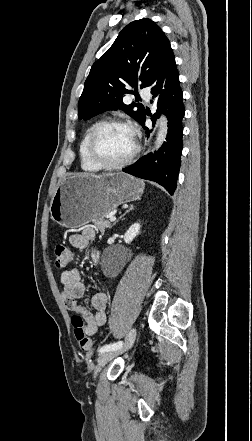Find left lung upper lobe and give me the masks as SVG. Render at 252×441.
I'll use <instances>...</instances> for the list:
<instances>
[{
  "label": "left lung upper lobe",
  "mask_w": 252,
  "mask_h": 441,
  "mask_svg": "<svg viewBox=\"0 0 252 441\" xmlns=\"http://www.w3.org/2000/svg\"><path fill=\"white\" fill-rule=\"evenodd\" d=\"M168 42L161 28L150 19L133 21L124 27L90 70L79 99V119L122 109L140 123L145 116L144 107L136 103L126 105L123 97L135 93L128 88L137 90L138 81L141 88L149 86L161 50Z\"/></svg>",
  "instance_id": "left-lung-upper-lobe-1"
}]
</instances>
